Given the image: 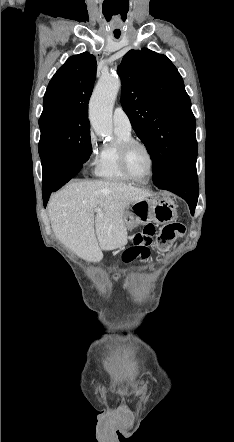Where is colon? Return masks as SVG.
<instances>
[{"instance_id":"1","label":"colon","mask_w":234,"mask_h":442,"mask_svg":"<svg viewBox=\"0 0 234 442\" xmlns=\"http://www.w3.org/2000/svg\"><path fill=\"white\" fill-rule=\"evenodd\" d=\"M185 226L175 222L165 225L156 235V227L153 224L146 225L141 232L134 236V244L123 253V260L132 261L138 257L147 258L150 255V245L156 235V247L160 251H166L172 242L184 234Z\"/></svg>"}]
</instances>
